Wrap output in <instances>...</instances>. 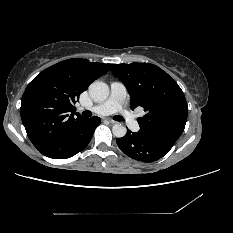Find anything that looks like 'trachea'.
Wrapping results in <instances>:
<instances>
[{
    "instance_id": "obj_1",
    "label": "trachea",
    "mask_w": 233,
    "mask_h": 233,
    "mask_svg": "<svg viewBox=\"0 0 233 233\" xmlns=\"http://www.w3.org/2000/svg\"><path fill=\"white\" fill-rule=\"evenodd\" d=\"M82 115L84 117L88 118V117H90L92 115V113L90 111L86 110V111H84L82 113ZM113 119L116 120V121H123V118L121 116H119V115L114 116Z\"/></svg>"
}]
</instances>
